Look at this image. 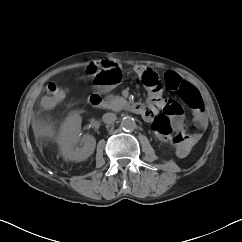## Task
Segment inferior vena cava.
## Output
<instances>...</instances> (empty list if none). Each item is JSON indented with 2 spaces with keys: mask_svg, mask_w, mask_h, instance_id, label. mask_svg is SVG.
I'll list each match as a JSON object with an SVG mask.
<instances>
[{
  "mask_svg": "<svg viewBox=\"0 0 242 242\" xmlns=\"http://www.w3.org/2000/svg\"><path fill=\"white\" fill-rule=\"evenodd\" d=\"M116 119H117L116 114L110 113V112L105 113L102 117L103 122L106 124H112L115 122Z\"/></svg>",
  "mask_w": 242,
  "mask_h": 242,
  "instance_id": "obj_1",
  "label": "inferior vena cava"
}]
</instances>
